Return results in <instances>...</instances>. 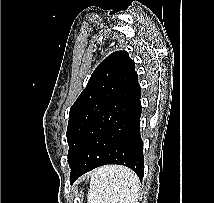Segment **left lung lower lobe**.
I'll return each mask as SVG.
<instances>
[{
	"label": "left lung lower lobe",
	"mask_w": 214,
	"mask_h": 203,
	"mask_svg": "<svg viewBox=\"0 0 214 203\" xmlns=\"http://www.w3.org/2000/svg\"><path fill=\"white\" fill-rule=\"evenodd\" d=\"M140 97L141 87L135 73L88 128L70 163L71 184L82 174L107 164L127 166L142 181L144 156L140 135Z\"/></svg>",
	"instance_id": "left-lung-lower-lobe-1"
}]
</instances>
